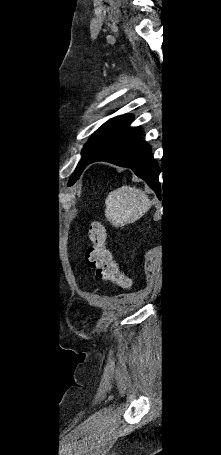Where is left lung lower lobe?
<instances>
[{
  "instance_id": "left-lung-lower-lobe-1",
  "label": "left lung lower lobe",
  "mask_w": 221,
  "mask_h": 455,
  "mask_svg": "<svg viewBox=\"0 0 221 455\" xmlns=\"http://www.w3.org/2000/svg\"><path fill=\"white\" fill-rule=\"evenodd\" d=\"M105 161L131 168L135 174L160 195L159 169L151 146L142 141L141 130L128 128L100 150L88 164Z\"/></svg>"
}]
</instances>
